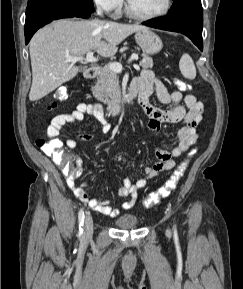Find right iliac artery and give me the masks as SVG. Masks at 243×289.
<instances>
[{"label":"right iliac artery","mask_w":243,"mask_h":289,"mask_svg":"<svg viewBox=\"0 0 243 289\" xmlns=\"http://www.w3.org/2000/svg\"><path fill=\"white\" fill-rule=\"evenodd\" d=\"M78 221H79V236L83 233V223H84V210L81 209L78 214Z\"/></svg>","instance_id":"82829eb1"}]
</instances>
